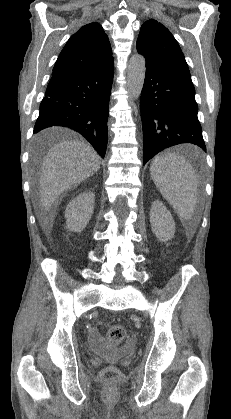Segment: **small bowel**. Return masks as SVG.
I'll use <instances>...</instances> for the list:
<instances>
[{
    "label": "small bowel",
    "mask_w": 231,
    "mask_h": 419,
    "mask_svg": "<svg viewBox=\"0 0 231 419\" xmlns=\"http://www.w3.org/2000/svg\"><path fill=\"white\" fill-rule=\"evenodd\" d=\"M91 343L93 348L98 350L100 346V336L97 330H92L90 332Z\"/></svg>",
    "instance_id": "c3829d8e"
}]
</instances>
